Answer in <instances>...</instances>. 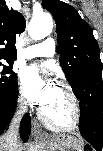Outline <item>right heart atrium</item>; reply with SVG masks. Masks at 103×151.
Listing matches in <instances>:
<instances>
[{"mask_svg":"<svg viewBox=\"0 0 103 151\" xmlns=\"http://www.w3.org/2000/svg\"><path fill=\"white\" fill-rule=\"evenodd\" d=\"M18 102L21 108H27L28 101L26 100L24 94L21 91L19 93Z\"/></svg>","mask_w":103,"mask_h":151,"instance_id":"d8ad5b80","label":"right heart atrium"}]
</instances>
